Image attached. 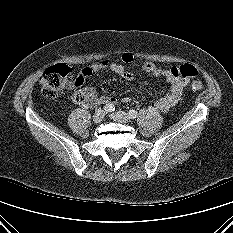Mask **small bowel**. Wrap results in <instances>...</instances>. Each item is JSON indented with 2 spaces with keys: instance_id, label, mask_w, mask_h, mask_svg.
Segmentation results:
<instances>
[{
  "instance_id": "small-bowel-1",
  "label": "small bowel",
  "mask_w": 233,
  "mask_h": 233,
  "mask_svg": "<svg viewBox=\"0 0 233 233\" xmlns=\"http://www.w3.org/2000/svg\"><path fill=\"white\" fill-rule=\"evenodd\" d=\"M133 62L134 57L132 54L123 53L117 58L92 63L89 66L83 68L75 82V86L80 88V93L83 97V103L88 106H94L99 103L106 105L116 104L117 99L114 96L100 95L95 88L86 85L85 81L93 74H103L107 72L115 73L126 81H132L135 76L127 66ZM141 69L143 72L149 75L164 79L169 85L168 91L155 102L156 109L164 112L175 106L188 83V79L175 76L174 70L176 68H161L153 62L143 63ZM130 101V97H125L123 99V102L125 103Z\"/></svg>"
}]
</instances>
